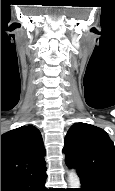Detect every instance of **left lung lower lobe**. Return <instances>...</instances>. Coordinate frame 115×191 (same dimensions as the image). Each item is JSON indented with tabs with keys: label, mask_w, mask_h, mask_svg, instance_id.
<instances>
[{
	"label": "left lung lower lobe",
	"mask_w": 115,
	"mask_h": 191,
	"mask_svg": "<svg viewBox=\"0 0 115 191\" xmlns=\"http://www.w3.org/2000/svg\"><path fill=\"white\" fill-rule=\"evenodd\" d=\"M80 180L81 188L75 191H115L111 185L93 178L80 177Z\"/></svg>",
	"instance_id": "left-lung-lower-lobe-1"
}]
</instances>
